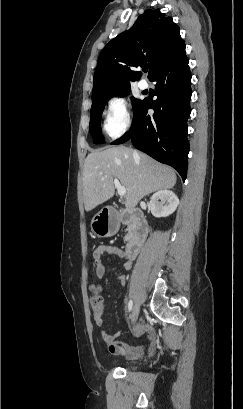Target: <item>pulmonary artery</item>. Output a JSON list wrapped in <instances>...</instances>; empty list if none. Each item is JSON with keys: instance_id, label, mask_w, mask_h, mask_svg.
I'll return each instance as SVG.
<instances>
[{"instance_id": "pulmonary-artery-1", "label": "pulmonary artery", "mask_w": 243, "mask_h": 409, "mask_svg": "<svg viewBox=\"0 0 243 409\" xmlns=\"http://www.w3.org/2000/svg\"><path fill=\"white\" fill-rule=\"evenodd\" d=\"M138 87H139L141 90L147 89V88H148V83H147V81H145V80H140V81L138 82Z\"/></svg>"}]
</instances>
